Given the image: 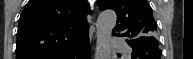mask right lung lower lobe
<instances>
[{
	"mask_svg": "<svg viewBox=\"0 0 193 59\" xmlns=\"http://www.w3.org/2000/svg\"><path fill=\"white\" fill-rule=\"evenodd\" d=\"M56 59H89V40L86 39Z\"/></svg>",
	"mask_w": 193,
	"mask_h": 59,
	"instance_id": "right-lung-lower-lobe-1",
	"label": "right lung lower lobe"
}]
</instances>
